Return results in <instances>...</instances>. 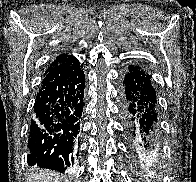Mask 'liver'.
Instances as JSON below:
<instances>
[{"mask_svg": "<svg viewBox=\"0 0 196 182\" xmlns=\"http://www.w3.org/2000/svg\"><path fill=\"white\" fill-rule=\"evenodd\" d=\"M57 173L53 171L36 170L35 173L29 175L28 182H59Z\"/></svg>", "mask_w": 196, "mask_h": 182, "instance_id": "1", "label": "liver"}]
</instances>
